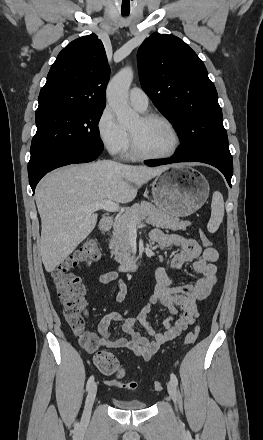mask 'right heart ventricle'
Here are the masks:
<instances>
[{
    "label": "right heart ventricle",
    "mask_w": 263,
    "mask_h": 440,
    "mask_svg": "<svg viewBox=\"0 0 263 440\" xmlns=\"http://www.w3.org/2000/svg\"><path fill=\"white\" fill-rule=\"evenodd\" d=\"M128 150V145H127V147L124 149V151H127Z\"/></svg>",
    "instance_id": "obj_1"
}]
</instances>
